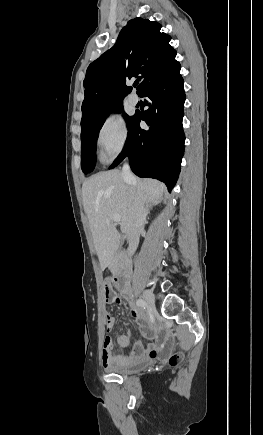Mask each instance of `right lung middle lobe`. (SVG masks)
I'll use <instances>...</instances> for the list:
<instances>
[{
	"mask_svg": "<svg viewBox=\"0 0 263 435\" xmlns=\"http://www.w3.org/2000/svg\"><path fill=\"white\" fill-rule=\"evenodd\" d=\"M122 111H123V107H122V103H120L107 110L91 125L81 128V143H82L81 168L85 174L91 172L95 166L97 138H98L99 130L101 129L106 117L111 112H122ZM123 116L126 118L129 127L133 121L134 116L130 117L126 114H123Z\"/></svg>",
	"mask_w": 263,
	"mask_h": 435,
	"instance_id": "obj_1",
	"label": "right lung middle lobe"
}]
</instances>
